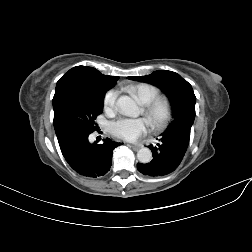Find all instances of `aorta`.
I'll use <instances>...</instances> for the list:
<instances>
[{"instance_id": "obj_1", "label": "aorta", "mask_w": 252, "mask_h": 252, "mask_svg": "<svg viewBox=\"0 0 252 252\" xmlns=\"http://www.w3.org/2000/svg\"><path fill=\"white\" fill-rule=\"evenodd\" d=\"M117 107L126 116H137L139 108L136 102L129 96H121L117 100ZM137 158L141 163H149L152 160V152L149 148H141L137 152Z\"/></svg>"}]
</instances>
